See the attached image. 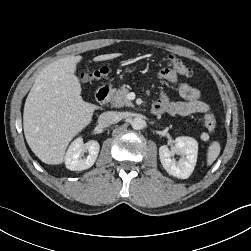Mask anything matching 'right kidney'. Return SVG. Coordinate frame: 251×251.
<instances>
[{
  "label": "right kidney",
  "instance_id": "obj_1",
  "mask_svg": "<svg viewBox=\"0 0 251 251\" xmlns=\"http://www.w3.org/2000/svg\"><path fill=\"white\" fill-rule=\"evenodd\" d=\"M99 149L100 145L95 140L88 141L84 144L81 137L75 139L71 143L65 156L66 167L72 171H82L90 168L97 159ZM84 152H88L86 158L81 157Z\"/></svg>",
  "mask_w": 251,
  "mask_h": 251
}]
</instances>
